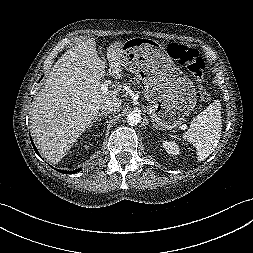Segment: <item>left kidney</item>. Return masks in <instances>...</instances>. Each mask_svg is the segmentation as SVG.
<instances>
[{"label": "left kidney", "mask_w": 253, "mask_h": 253, "mask_svg": "<svg viewBox=\"0 0 253 253\" xmlns=\"http://www.w3.org/2000/svg\"><path fill=\"white\" fill-rule=\"evenodd\" d=\"M163 147L170 155H178L180 152L179 146L174 141H163Z\"/></svg>", "instance_id": "left-kidney-1"}]
</instances>
